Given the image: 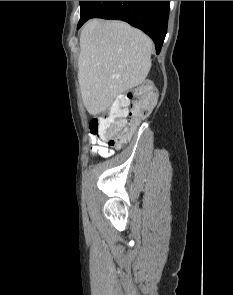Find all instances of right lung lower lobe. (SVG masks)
Masks as SVG:
<instances>
[{"mask_svg": "<svg viewBox=\"0 0 233 295\" xmlns=\"http://www.w3.org/2000/svg\"><path fill=\"white\" fill-rule=\"evenodd\" d=\"M170 1H89L78 29L90 18L123 20L148 34L159 54L167 32Z\"/></svg>", "mask_w": 233, "mask_h": 295, "instance_id": "right-lung-lower-lobe-1", "label": "right lung lower lobe"}]
</instances>
